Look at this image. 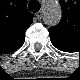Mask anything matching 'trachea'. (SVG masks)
Instances as JSON below:
<instances>
[{"mask_svg": "<svg viewBox=\"0 0 80 80\" xmlns=\"http://www.w3.org/2000/svg\"><path fill=\"white\" fill-rule=\"evenodd\" d=\"M40 8V3L37 0H31L28 4V9L33 13L38 12Z\"/></svg>", "mask_w": 80, "mask_h": 80, "instance_id": "1", "label": "trachea"}]
</instances>
